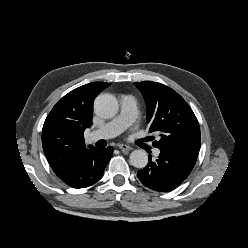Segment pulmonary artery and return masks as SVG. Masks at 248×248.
Returning <instances> with one entry per match:
<instances>
[{
  "label": "pulmonary artery",
  "instance_id": "1",
  "mask_svg": "<svg viewBox=\"0 0 248 248\" xmlns=\"http://www.w3.org/2000/svg\"><path fill=\"white\" fill-rule=\"evenodd\" d=\"M121 110L117 117L100 126L89 134L90 141L99 139H110L128 128L136 118L137 101L132 95H123L120 99ZM155 155L159 154V150L154 151Z\"/></svg>",
  "mask_w": 248,
  "mask_h": 248
}]
</instances>
